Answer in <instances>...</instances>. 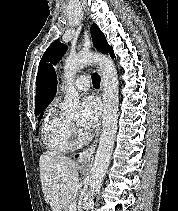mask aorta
Returning a JSON list of instances; mask_svg holds the SVG:
<instances>
[{
    "label": "aorta",
    "instance_id": "762f6f07",
    "mask_svg": "<svg viewBox=\"0 0 178 211\" xmlns=\"http://www.w3.org/2000/svg\"><path fill=\"white\" fill-rule=\"evenodd\" d=\"M97 64L102 73L103 87V121L99 145L91 168L90 187L91 201L101 188L112 155L118 121V76L113 61L105 55L81 52L69 56L64 63V79L66 80V96L64 110L76 114L80 110L79 95L73 88L72 81L77 71L90 64Z\"/></svg>",
    "mask_w": 178,
    "mask_h": 211
}]
</instances>
